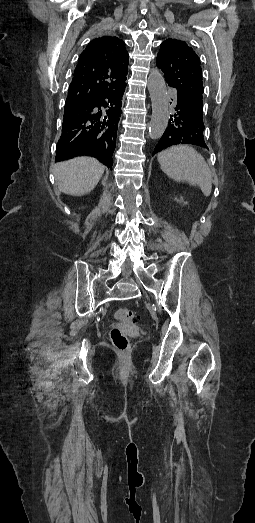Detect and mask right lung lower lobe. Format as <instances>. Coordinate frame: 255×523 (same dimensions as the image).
<instances>
[{
  "label": "right lung lower lobe",
  "instance_id": "1",
  "mask_svg": "<svg viewBox=\"0 0 255 523\" xmlns=\"http://www.w3.org/2000/svg\"><path fill=\"white\" fill-rule=\"evenodd\" d=\"M79 114L83 117V144L91 146L100 141V103L98 101L81 102Z\"/></svg>",
  "mask_w": 255,
  "mask_h": 523
}]
</instances>
